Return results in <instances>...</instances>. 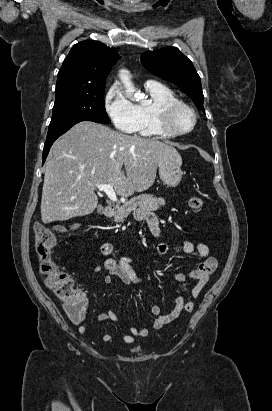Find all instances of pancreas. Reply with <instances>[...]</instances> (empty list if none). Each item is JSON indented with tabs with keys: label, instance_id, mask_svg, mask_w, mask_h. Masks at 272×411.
<instances>
[{
	"label": "pancreas",
	"instance_id": "obj_1",
	"mask_svg": "<svg viewBox=\"0 0 272 411\" xmlns=\"http://www.w3.org/2000/svg\"><path fill=\"white\" fill-rule=\"evenodd\" d=\"M166 204L163 198H156L151 194H141L125 202L122 206H117L114 221L123 222L132 211L140 209L158 210Z\"/></svg>",
	"mask_w": 272,
	"mask_h": 411
}]
</instances>
